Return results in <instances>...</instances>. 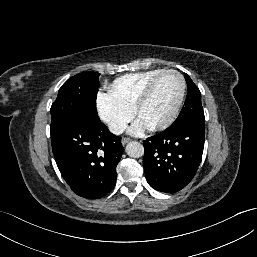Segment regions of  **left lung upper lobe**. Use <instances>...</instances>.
<instances>
[{
  "instance_id": "obj_1",
  "label": "left lung upper lobe",
  "mask_w": 257,
  "mask_h": 257,
  "mask_svg": "<svg viewBox=\"0 0 257 257\" xmlns=\"http://www.w3.org/2000/svg\"><path fill=\"white\" fill-rule=\"evenodd\" d=\"M187 81V97L185 106L173 124H179L188 120H204V111L201 103V93L191 78L184 74Z\"/></svg>"
}]
</instances>
